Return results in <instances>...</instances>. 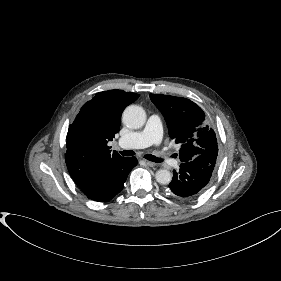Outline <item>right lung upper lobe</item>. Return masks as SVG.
Masks as SVG:
<instances>
[{
  "label": "right lung upper lobe",
  "instance_id": "obj_1",
  "mask_svg": "<svg viewBox=\"0 0 281 281\" xmlns=\"http://www.w3.org/2000/svg\"><path fill=\"white\" fill-rule=\"evenodd\" d=\"M139 97L123 90L99 92L81 108L69 126L65 161L70 175L83 190L95 184L115 163L123 159L107 143L119 131L123 110Z\"/></svg>",
  "mask_w": 281,
  "mask_h": 281
}]
</instances>
